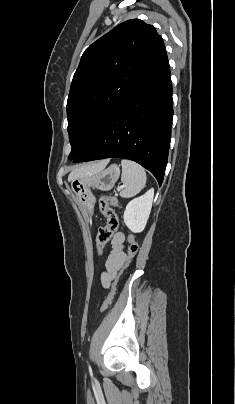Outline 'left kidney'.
<instances>
[{"label":"left kidney","mask_w":235,"mask_h":404,"mask_svg":"<svg viewBox=\"0 0 235 404\" xmlns=\"http://www.w3.org/2000/svg\"><path fill=\"white\" fill-rule=\"evenodd\" d=\"M154 189H150L144 195L131 200L124 211V222L134 233H140L145 229L149 218Z\"/></svg>","instance_id":"5707ae66"}]
</instances>
